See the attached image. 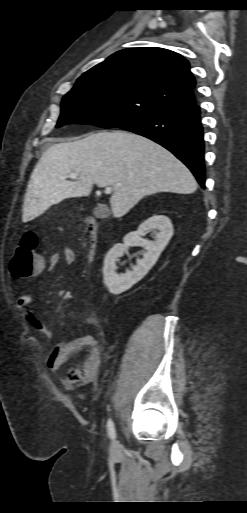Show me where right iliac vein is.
Returning <instances> with one entry per match:
<instances>
[{"label": "right iliac vein", "mask_w": 247, "mask_h": 513, "mask_svg": "<svg viewBox=\"0 0 247 513\" xmlns=\"http://www.w3.org/2000/svg\"><path fill=\"white\" fill-rule=\"evenodd\" d=\"M120 452V445L117 440H113L110 446V453L113 457H116Z\"/></svg>", "instance_id": "right-iliac-vein-1"}]
</instances>
